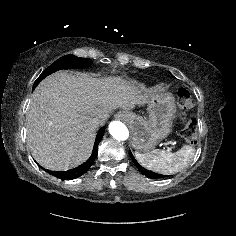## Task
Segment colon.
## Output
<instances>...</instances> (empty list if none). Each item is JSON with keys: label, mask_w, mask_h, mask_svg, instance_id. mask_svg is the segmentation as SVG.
<instances>
[{"label": "colon", "mask_w": 236, "mask_h": 236, "mask_svg": "<svg viewBox=\"0 0 236 236\" xmlns=\"http://www.w3.org/2000/svg\"><path fill=\"white\" fill-rule=\"evenodd\" d=\"M177 100L181 112V136L190 143L196 144L198 142V135L196 131L195 115L192 111L193 99L186 88H180L177 93Z\"/></svg>", "instance_id": "1"}]
</instances>
